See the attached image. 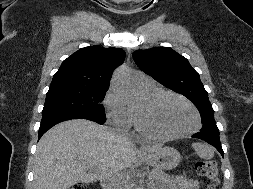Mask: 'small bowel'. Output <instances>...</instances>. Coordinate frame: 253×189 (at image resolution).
Returning a JSON list of instances; mask_svg holds the SVG:
<instances>
[{
    "instance_id": "1",
    "label": "small bowel",
    "mask_w": 253,
    "mask_h": 189,
    "mask_svg": "<svg viewBox=\"0 0 253 189\" xmlns=\"http://www.w3.org/2000/svg\"><path fill=\"white\" fill-rule=\"evenodd\" d=\"M168 189H199V183L190 178L178 176L171 181L167 187Z\"/></svg>"
}]
</instances>
